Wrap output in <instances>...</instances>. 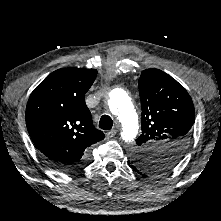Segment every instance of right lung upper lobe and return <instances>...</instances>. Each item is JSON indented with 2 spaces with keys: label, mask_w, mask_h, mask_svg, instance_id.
I'll return each instance as SVG.
<instances>
[{
  "label": "right lung upper lobe",
  "mask_w": 221,
  "mask_h": 221,
  "mask_svg": "<svg viewBox=\"0 0 221 221\" xmlns=\"http://www.w3.org/2000/svg\"><path fill=\"white\" fill-rule=\"evenodd\" d=\"M96 75V69H58L31 93L26 126L47 161L78 162L89 156L91 145L104 139L84 99Z\"/></svg>",
  "instance_id": "right-lung-upper-lobe-1"
}]
</instances>
